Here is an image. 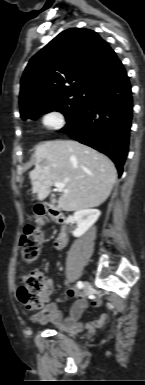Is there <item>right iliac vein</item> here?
I'll return each instance as SVG.
<instances>
[{"instance_id": "obj_1", "label": "right iliac vein", "mask_w": 145, "mask_h": 385, "mask_svg": "<svg viewBox=\"0 0 145 385\" xmlns=\"http://www.w3.org/2000/svg\"><path fill=\"white\" fill-rule=\"evenodd\" d=\"M90 290H91L90 284L88 282H85L84 288H83L84 295L87 296L89 294Z\"/></svg>"}]
</instances>
